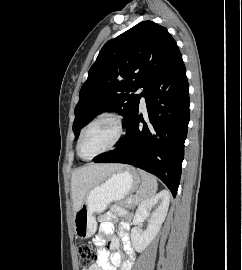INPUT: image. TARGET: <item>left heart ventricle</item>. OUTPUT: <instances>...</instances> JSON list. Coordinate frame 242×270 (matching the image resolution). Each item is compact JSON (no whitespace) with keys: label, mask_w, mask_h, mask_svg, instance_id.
<instances>
[{"label":"left heart ventricle","mask_w":242,"mask_h":270,"mask_svg":"<svg viewBox=\"0 0 242 270\" xmlns=\"http://www.w3.org/2000/svg\"><path fill=\"white\" fill-rule=\"evenodd\" d=\"M116 136V126L110 121H101L90 127L84 134L80 152L89 158L108 147Z\"/></svg>","instance_id":"1"}]
</instances>
